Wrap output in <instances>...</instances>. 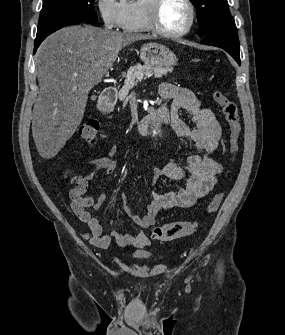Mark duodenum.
Listing matches in <instances>:
<instances>
[{
	"mask_svg": "<svg viewBox=\"0 0 285 335\" xmlns=\"http://www.w3.org/2000/svg\"><path fill=\"white\" fill-rule=\"evenodd\" d=\"M118 92L115 88H107L104 90L99 102L98 107L100 111L107 112L111 109L112 105L117 99ZM172 111L170 108L162 105L158 108H153L149 111V114L145 116L137 125V131L139 134H144L151 122L155 121L158 124H165L171 121Z\"/></svg>",
	"mask_w": 285,
	"mask_h": 335,
	"instance_id": "duodenum-1",
	"label": "duodenum"
}]
</instances>
